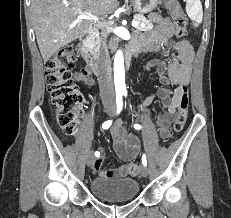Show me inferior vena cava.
I'll list each match as a JSON object with an SVG mask.
<instances>
[{"instance_id": "602c4592", "label": "inferior vena cava", "mask_w": 231, "mask_h": 218, "mask_svg": "<svg viewBox=\"0 0 231 218\" xmlns=\"http://www.w3.org/2000/svg\"><path fill=\"white\" fill-rule=\"evenodd\" d=\"M106 37V34L104 33ZM99 65V87L102 99L114 100L115 92L112 80L111 62L106 44H103V49L98 61Z\"/></svg>"}]
</instances>
